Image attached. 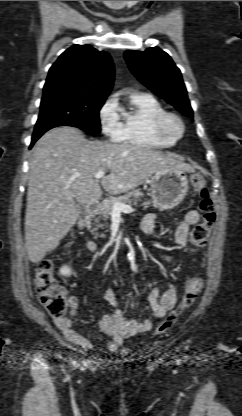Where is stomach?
<instances>
[{"label":"stomach","mask_w":242,"mask_h":416,"mask_svg":"<svg viewBox=\"0 0 242 416\" xmlns=\"http://www.w3.org/2000/svg\"><path fill=\"white\" fill-rule=\"evenodd\" d=\"M151 198L156 208L172 209L179 205L188 192L185 171L165 168L157 171L149 180Z\"/></svg>","instance_id":"1"}]
</instances>
